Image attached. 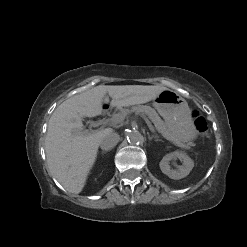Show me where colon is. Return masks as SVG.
Here are the masks:
<instances>
[{"instance_id": "colon-1", "label": "colon", "mask_w": 247, "mask_h": 247, "mask_svg": "<svg viewBox=\"0 0 247 247\" xmlns=\"http://www.w3.org/2000/svg\"><path fill=\"white\" fill-rule=\"evenodd\" d=\"M195 127L200 135H205L207 133V123L205 119L198 114H195Z\"/></svg>"}]
</instances>
